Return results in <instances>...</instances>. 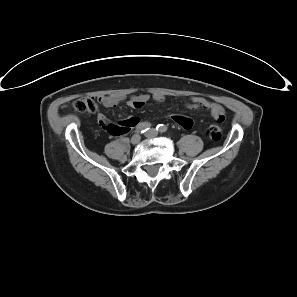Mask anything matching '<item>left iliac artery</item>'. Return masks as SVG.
<instances>
[{
  "label": "left iliac artery",
  "instance_id": "44dca946",
  "mask_svg": "<svg viewBox=\"0 0 297 297\" xmlns=\"http://www.w3.org/2000/svg\"><path fill=\"white\" fill-rule=\"evenodd\" d=\"M156 129H157L159 132L163 133V132H165V131L167 130V127L164 126L163 124H159V125L156 127Z\"/></svg>",
  "mask_w": 297,
  "mask_h": 297
}]
</instances>
